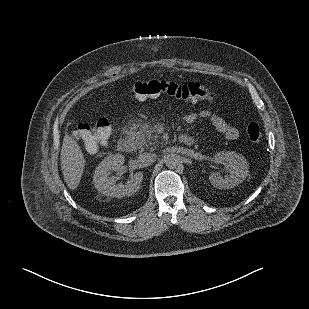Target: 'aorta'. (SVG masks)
I'll list each match as a JSON object with an SVG mask.
<instances>
[{"instance_id":"762f6f07","label":"aorta","mask_w":309,"mask_h":309,"mask_svg":"<svg viewBox=\"0 0 309 309\" xmlns=\"http://www.w3.org/2000/svg\"><path fill=\"white\" fill-rule=\"evenodd\" d=\"M165 165L170 169H175L181 163V158L178 154H168L164 158Z\"/></svg>"}]
</instances>
